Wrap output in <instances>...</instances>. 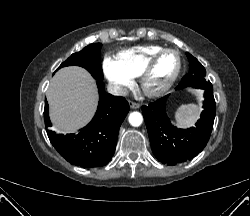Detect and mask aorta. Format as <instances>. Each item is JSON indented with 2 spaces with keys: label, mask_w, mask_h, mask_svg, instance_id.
Returning <instances> with one entry per match:
<instances>
[{
  "label": "aorta",
  "mask_w": 250,
  "mask_h": 216,
  "mask_svg": "<svg viewBox=\"0 0 250 216\" xmlns=\"http://www.w3.org/2000/svg\"><path fill=\"white\" fill-rule=\"evenodd\" d=\"M129 123L134 126V127H138L142 124L143 122V117L141 115V113L139 112H132L130 115H129Z\"/></svg>",
  "instance_id": "762f6f07"
}]
</instances>
